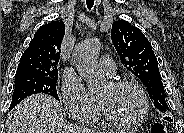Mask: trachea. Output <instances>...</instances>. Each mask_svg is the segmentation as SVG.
I'll return each instance as SVG.
<instances>
[{
  "label": "trachea",
  "instance_id": "obj_1",
  "mask_svg": "<svg viewBox=\"0 0 184 133\" xmlns=\"http://www.w3.org/2000/svg\"><path fill=\"white\" fill-rule=\"evenodd\" d=\"M86 5L88 9H91L94 5V0H86Z\"/></svg>",
  "mask_w": 184,
  "mask_h": 133
}]
</instances>
